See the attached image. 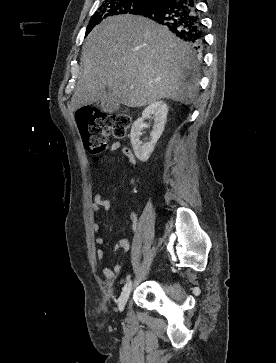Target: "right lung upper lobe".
Masks as SVG:
<instances>
[{"label": "right lung upper lobe", "instance_id": "cb5924a9", "mask_svg": "<svg viewBox=\"0 0 276 363\" xmlns=\"http://www.w3.org/2000/svg\"><path fill=\"white\" fill-rule=\"evenodd\" d=\"M154 1H155V3H156V2H158L159 0H154Z\"/></svg>", "mask_w": 276, "mask_h": 363}]
</instances>
